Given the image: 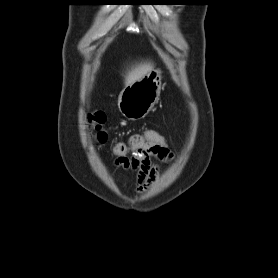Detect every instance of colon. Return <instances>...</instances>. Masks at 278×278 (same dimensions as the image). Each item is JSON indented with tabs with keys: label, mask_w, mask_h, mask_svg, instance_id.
Returning a JSON list of instances; mask_svg holds the SVG:
<instances>
[{
	"label": "colon",
	"mask_w": 278,
	"mask_h": 278,
	"mask_svg": "<svg viewBox=\"0 0 278 278\" xmlns=\"http://www.w3.org/2000/svg\"><path fill=\"white\" fill-rule=\"evenodd\" d=\"M105 120H106V117L102 111L96 110V111H93L88 114V121H89L92 129L96 133V138H97L99 144H103L107 138L106 133L102 129V126L105 123ZM145 136L149 141L155 143L156 145L168 149V143H167L165 137H163L156 131L148 130L145 132ZM112 152L116 158L127 157L128 155L132 154L130 147L124 142L117 143L113 147Z\"/></svg>",
	"instance_id": "colon-1"
}]
</instances>
